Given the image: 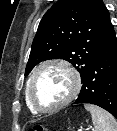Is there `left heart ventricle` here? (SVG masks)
Listing matches in <instances>:
<instances>
[{"mask_svg": "<svg viewBox=\"0 0 117 131\" xmlns=\"http://www.w3.org/2000/svg\"><path fill=\"white\" fill-rule=\"evenodd\" d=\"M70 75L60 67L41 70L33 82V95L43 108H50L63 101L71 91Z\"/></svg>", "mask_w": 117, "mask_h": 131, "instance_id": "obj_1", "label": "left heart ventricle"}]
</instances>
